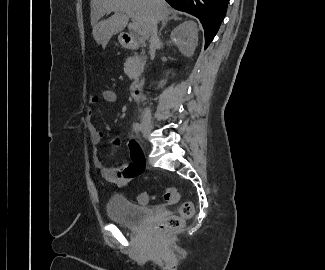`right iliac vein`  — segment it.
<instances>
[{"instance_id":"right-iliac-vein-1","label":"right iliac vein","mask_w":325,"mask_h":270,"mask_svg":"<svg viewBox=\"0 0 325 270\" xmlns=\"http://www.w3.org/2000/svg\"><path fill=\"white\" fill-rule=\"evenodd\" d=\"M141 130L146 137H149L152 131V126L149 122H144Z\"/></svg>"}]
</instances>
